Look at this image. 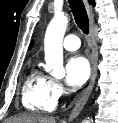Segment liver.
I'll return each mask as SVG.
<instances>
[{"label":"liver","mask_w":118,"mask_h":123,"mask_svg":"<svg viewBox=\"0 0 118 123\" xmlns=\"http://www.w3.org/2000/svg\"><path fill=\"white\" fill-rule=\"evenodd\" d=\"M4 123H56L54 118L37 114H23L5 120Z\"/></svg>","instance_id":"6515ba94"}]
</instances>
